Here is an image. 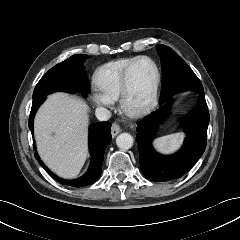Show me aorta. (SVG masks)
<instances>
[{"mask_svg":"<svg viewBox=\"0 0 240 240\" xmlns=\"http://www.w3.org/2000/svg\"><path fill=\"white\" fill-rule=\"evenodd\" d=\"M133 137L129 133H121L116 138L117 146L122 150H128L133 146Z\"/></svg>","mask_w":240,"mask_h":240,"instance_id":"obj_1","label":"aorta"}]
</instances>
